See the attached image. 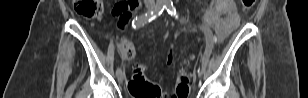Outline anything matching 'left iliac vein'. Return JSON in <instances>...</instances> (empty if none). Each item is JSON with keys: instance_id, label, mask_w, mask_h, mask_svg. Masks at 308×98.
Here are the masks:
<instances>
[{"instance_id": "1", "label": "left iliac vein", "mask_w": 308, "mask_h": 98, "mask_svg": "<svg viewBox=\"0 0 308 98\" xmlns=\"http://www.w3.org/2000/svg\"><path fill=\"white\" fill-rule=\"evenodd\" d=\"M202 73H203L202 69H201V68H199V69H198V74H199V76H201V75H202Z\"/></svg>"}]
</instances>
